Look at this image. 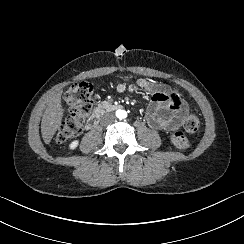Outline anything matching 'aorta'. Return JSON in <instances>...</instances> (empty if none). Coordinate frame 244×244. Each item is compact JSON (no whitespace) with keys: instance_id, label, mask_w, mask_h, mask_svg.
<instances>
[{"instance_id":"762f6f07","label":"aorta","mask_w":244,"mask_h":244,"mask_svg":"<svg viewBox=\"0 0 244 244\" xmlns=\"http://www.w3.org/2000/svg\"><path fill=\"white\" fill-rule=\"evenodd\" d=\"M116 116H117V118H119V119H124V118H126L127 113H126L125 110H118V111L116 112Z\"/></svg>"}]
</instances>
